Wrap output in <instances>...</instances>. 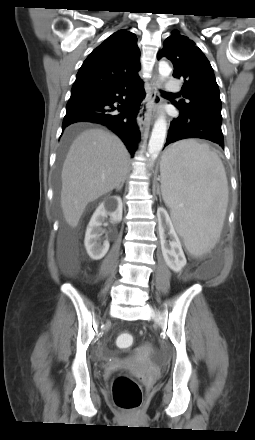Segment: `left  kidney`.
<instances>
[{
	"label": "left kidney",
	"instance_id": "obj_1",
	"mask_svg": "<svg viewBox=\"0 0 255 440\" xmlns=\"http://www.w3.org/2000/svg\"><path fill=\"white\" fill-rule=\"evenodd\" d=\"M157 216L159 221L161 250L164 260L171 270L180 272L186 265L187 261L182 250L179 237L174 229L167 211L164 208H158ZM166 230L168 231L167 234L165 233ZM167 235L170 236L169 242L166 241Z\"/></svg>",
	"mask_w": 255,
	"mask_h": 440
}]
</instances>
